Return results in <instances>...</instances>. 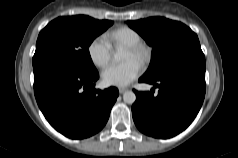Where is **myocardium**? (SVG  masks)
<instances>
[{
	"instance_id": "1",
	"label": "myocardium",
	"mask_w": 238,
	"mask_h": 158,
	"mask_svg": "<svg viewBox=\"0 0 238 158\" xmlns=\"http://www.w3.org/2000/svg\"><path fill=\"white\" fill-rule=\"evenodd\" d=\"M126 49L132 53L137 62L145 65L150 59V49L143 43L127 46Z\"/></svg>"
}]
</instances>
